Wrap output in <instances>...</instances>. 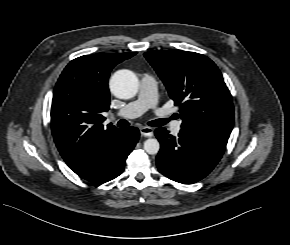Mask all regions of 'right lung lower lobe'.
Listing matches in <instances>:
<instances>
[{
	"mask_svg": "<svg viewBox=\"0 0 290 245\" xmlns=\"http://www.w3.org/2000/svg\"><path fill=\"white\" fill-rule=\"evenodd\" d=\"M138 138L137 128L121 129L116 144L96 164L75 173L95 184H102L116 178L122 173L126 158L138 142Z\"/></svg>",
	"mask_w": 290,
	"mask_h": 245,
	"instance_id": "obj_1",
	"label": "right lung lower lobe"
}]
</instances>
